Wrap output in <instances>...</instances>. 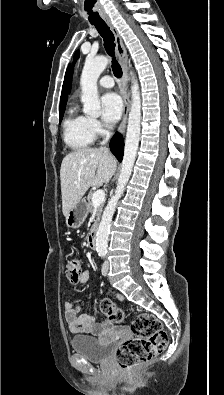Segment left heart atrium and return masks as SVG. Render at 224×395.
Masks as SVG:
<instances>
[{"instance_id":"39dd6f15","label":"left heart atrium","mask_w":224,"mask_h":395,"mask_svg":"<svg viewBox=\"0 0 224 395\" xmlns=\"http://www.w3.org/2000/svg\"><path fill=\"white\" fill-rule=\"evenodd\" d=\"M103 119L108 124L117 122L122 114L123 104L120 96L109 92L102 97Z\"/></svg>"}]
</instances>
